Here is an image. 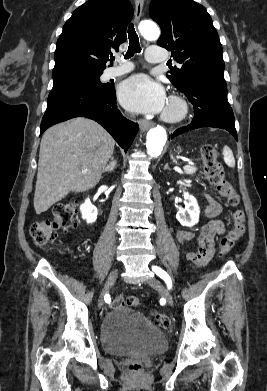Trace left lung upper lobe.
Segmentation results:
<instances>
[{
	"mask_svg": "<svg viewBox=\"0 0 267 391\" xmlns=\"http://www.w3.org/2000/svg\"><path fill=\"white\" fill-rule=\"evenodd\" d=\"M149 15L161 27L157 44L172 51L182 65L167 75L176 88L202 78L225 82L222 46L202 5L193 0H152Z\"/></svg>",
	"mask_w": 267,
	"mask_h": 391,
	"instance_id": "5c2ea615",
	"label": "left lung upper lobe"
}]
</instances>
